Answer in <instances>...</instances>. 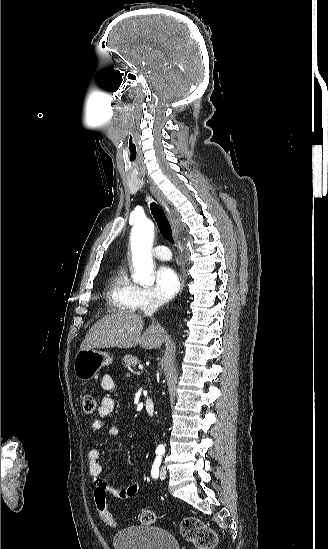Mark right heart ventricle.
Returning a JSON list of instances; mask_svg holds the SVG:
<instances>
[{
  "label": "right heart ventricle",
  "mask_w": 328,
  "mask_h": 549,
  "mask_svg": "<svg viewBox=\"0 0 328 549\" xmlns=\"http://www.w3.org/2000/svg\"><path fill=\"white\" fill-rule=\"evenodd\" d=\"M138 303H144L141 288L129 278L125 267L120 266L110 279L104 310H138Z\"/></svg>",
  "instance_id": "1"
}]
</instances>
